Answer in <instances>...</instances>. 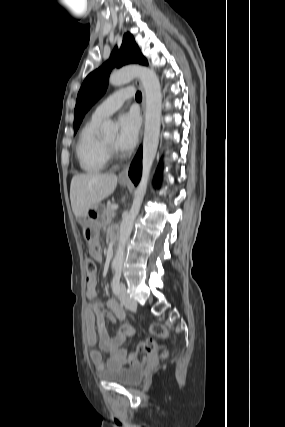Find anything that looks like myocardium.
I'll list each match as a JSON object with an SVG mask.
<instances>
[{
	"mask_svg": "<svg viewBox=\"0 0 285 427\" xmlns=\"http://www.w3.org/2000/svg\"><path fill=\"white\" fill-rule=\"evenodd\" d=\"M103 146L106 152L108 159L116 158L119 156V153L114 145L108 143L105 139H103Z\"/></svg>",
	"mask_w": 285,
	"mask_h": 427,
	"instance_id": "obj_1",
	"label": "myocardium"
}]
</instances>
